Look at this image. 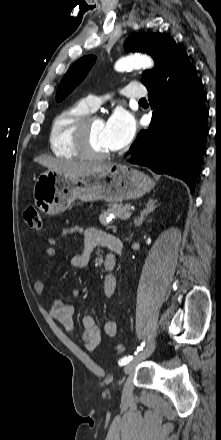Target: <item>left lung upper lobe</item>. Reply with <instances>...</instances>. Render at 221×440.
Here are the masks:
<instances>
[{
  "instance_id": "5c2ea615",
  "label": "left lung upper lobe",
  "mask_w": 221,
  "mask_h": 440,
  "mask_svg": "<svg viewBox=\"0 0 221 440\" xmlns=\"http://www.w3.org/2000/svg\"><path fill=\"white\" fill-rule=\"evenodd\" d=\"M124 46L126 52H143L154 59L155 67L144 72L142 76V83L145 86H148L161 73L171 55L181 49L173 39L160 33L133 34L126 39ZM94 62L95 56H85L71 66L57 89V102L62 101L73 91Z\"/></svg>"
}]
</instances>
